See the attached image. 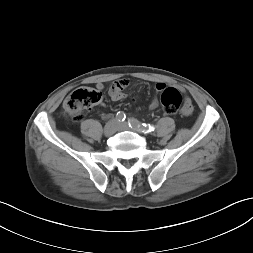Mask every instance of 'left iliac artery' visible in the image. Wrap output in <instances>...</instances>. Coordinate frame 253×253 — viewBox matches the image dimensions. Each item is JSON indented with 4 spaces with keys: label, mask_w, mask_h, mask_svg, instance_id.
<instances>
[{
    "label": "left iliac artery",
    "mask_w": 253,
    "mask_h": 253,
    "mask_svg": "<svg viewBox=\"0 0 253 253\" xmlns=\"http://www.w3.org/2000/svg\"><path fill=\"white\" fill-rule=\"evenodd\" d=\"M128 125L131 128H138L140 129L143 133H150L155 130V127L153 125H150L148 123H140L137 119L135 118H129L128 119Z\"/></svg>",
    "instance_id": "obj_1"
}]
</instances>
